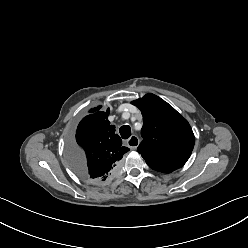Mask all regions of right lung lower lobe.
<instances>
[{
    "mask_svg": "<svg viewBox=\"0 0 248 248\" xmlns=\"http://www.w3.org/2000/svg\"><path fill=\"white\" fill-rule=\"evenodd\" d=\"M82 161H83L82 159H80V160L78 161L79 167H81ZM117 170H118V166L115 167V168L108 174V176H105V177H103L102 179H93L92 181H93V182H104V181L110 179L111 177H113V176L116 174ZM79 172H80V173H79L78 175L84 178V175H83V173H82V169H81V168H80V171H79Z\"/></svg>",
    "mask_w": 248,
    "mask_h": 248,
    "instance_id": "right-lung-lower-lobe-1",
    "label": "right lung lower lobe"
}]
</instances>
